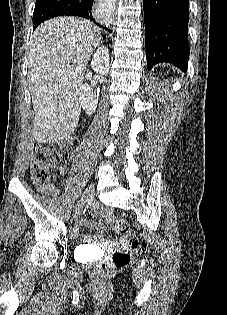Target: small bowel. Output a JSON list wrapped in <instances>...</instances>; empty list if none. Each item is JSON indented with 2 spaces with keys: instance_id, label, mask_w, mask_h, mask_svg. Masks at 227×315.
I'll return each instance as SVG.
<instances>
[{
  "instance_id": "obj_1",
  "label": "small bowel",
  "mask_w": 227,
  "mask_h": 315,
  "mask_svg": "<svg viewBox=\"0 0 227 315\" xmlns=\"http://www.w3.org/2000/svg\"><path fill=\"white\" fill-rule=\"evenodd\" d=\"M61 172L62 173H66L67 172V168L66 167H61ZM82 223H85V224H92V225H94L98 230H102L103 229V225H102V223H100V222H98V223H92L89 219H87V218H84L83 220H82Z\"/></svg>"
}]
</instances>
